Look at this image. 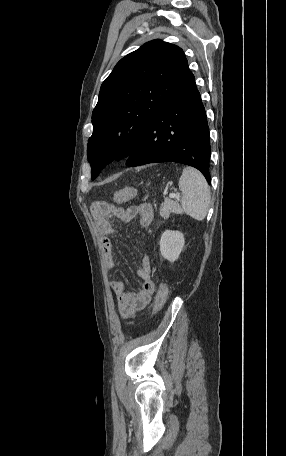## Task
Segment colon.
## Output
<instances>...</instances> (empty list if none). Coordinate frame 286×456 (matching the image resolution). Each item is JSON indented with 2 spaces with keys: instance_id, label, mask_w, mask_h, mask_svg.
<instances>
[{
  "instance_id": "5ec220e1",
  "label": "colon",
  "mask_w": 286,
  "mask_h": 456,
  "mask_svg": "<svg viewBox=\"0 0 286 456\" xmlns=\"http://www.w3.org/2000/svg\"><path fill=\"white\" fill-rule=\"evenodd\" d=\"M136 193H137V189L133 188V187L121 189L115 193L114 202L122 203V202L128 201V200L132 199L133 197H135ZM112 205H113V203H111V202L98 201L93 204V209L97 210V211H107L111 208ZM168 294H169L168 287L165 284H162L159 287L158 292L155 297V302H154V307H153L154 312L159 311L163 307V305L167 301Z\"/></svg>"
}]
</instances>
